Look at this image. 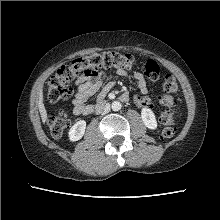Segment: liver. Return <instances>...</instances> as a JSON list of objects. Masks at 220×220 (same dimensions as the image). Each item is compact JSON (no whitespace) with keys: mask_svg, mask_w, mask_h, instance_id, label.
Here are the masks:
<instances>
[{"mask_svg":"<svg viewBox=\"0 0 220 220\" xmlns=\"http://www.w3.org/2000/svg\"><path fill=\"white\" fill-rule=\"evenodd\" d=\"M38 109L41 115L42 122L45 123L47 120V111L45 109L44 103H43V91L42 87L39 91V97H38Z\"/></svg>","mask_w":220,"mask_h":220,"instance_id":"1","label":"liver"}]
</instances>
